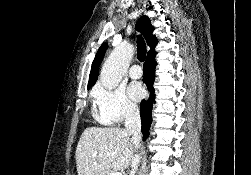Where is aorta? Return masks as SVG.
I'll list each match as a JSON object with an SVG mask.
<instances>
[{
  "mask_svg": "<svg viewBox=\"0 0 251 175\" xmlns=\"http://www.w3.org/2000/svg\"><path fill=\"white\" fill-rule=\"evenodd\" d=\"M134 56V48L131 44H119L114 48L108 60H106L100 74V82L105 89H115L127 72L128 66Z\"/></svg>",
  "mask_w": 251,
  "mask_h": 175,
  "instance_id": "obj_1",
  "label": "aorta"
}]
</instances>
